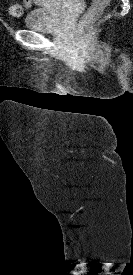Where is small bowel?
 I'll use <instances>...</instances> for the list:
<instances>
[{"mask_svg":"<svg viewBox=\"0 0 133 275\" xmlns=\"http://www.w3.org/2000/svg\"><path fill=\"white\" fill-rule=\"evenodd\" d=\"M31 1L32 0H23L24 4H26L27 7H29L31 5Z\"/></svg>","mask_w":133,"mask_h":275,"instance_id":"small-bowel-1","label":"small bowel"}]
</instances>
